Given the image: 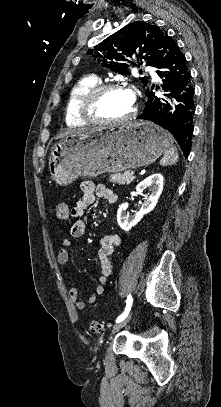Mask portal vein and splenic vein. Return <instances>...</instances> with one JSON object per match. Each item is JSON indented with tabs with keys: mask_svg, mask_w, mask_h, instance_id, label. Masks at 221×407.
<instances>
[{
	"mask_svg": "<svg viewBox=\"0 0 221 407\" xmlns=\"http://www.w3.org/2000/svg\"><path fill=\"white\" fill-rule=\"evenodd\" d=\"M131 175H133V176H134V175H135V172H131Z\"/></svg>",
	"mask_w": 221,
	"mask_h": 407,
	"instance_id": "obj_1",
	"label": "portal vein and splenic vein"
}]
</instances>
